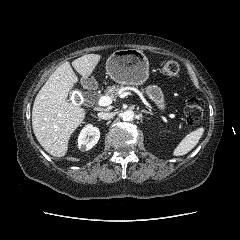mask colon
Returning a JSON list of instances; mask_svg holds the SVG:
<instances>
[{
	"instance_id": "5ec220e1",
	"label": "colon",
	"mask_w": 240,
	"mask_h": 240,
	"mask_svg": "<svg viewBox=\"0 0 240 240\" xmlns=\"http://www.w3.org/2000/svg\"><path fill=\"white\" fill-rule=\"evenodd\" d=\"M180 72L179 64L173 59H167L161 64V73L167 78H174ZM204 102L196 96L187 98L184 106V114L189 124L197 125L203 117Z\"/></svg>"
}]
</instances>
